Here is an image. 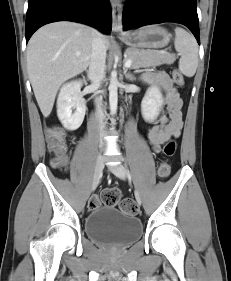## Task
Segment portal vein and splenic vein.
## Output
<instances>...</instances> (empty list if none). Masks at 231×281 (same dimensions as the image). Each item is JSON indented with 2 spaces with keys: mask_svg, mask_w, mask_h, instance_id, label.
I'll return each instance as SVG.
<instances>
[{
  "mask_svg": "<svg viewBox=\"0 0 231 281\" xmlns=\"http://www.w3.org/2000/svg\"><path fill=\"white\" fill-rule=\"evenodd\" d=\"M131 65H132V60H130V59L126 60L124 66H125L126 68H129Z\"/></svg>",
  "mask_w": 231,
  "mask_h": 281,
  "instance_id": "18ae733b",
  "label": "portal vein and splenic vein"
}]
</instances>
